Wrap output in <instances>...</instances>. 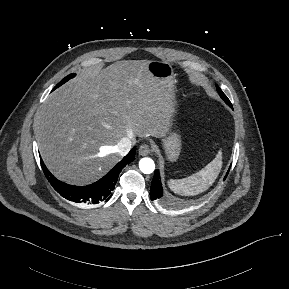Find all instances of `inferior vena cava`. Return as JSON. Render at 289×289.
<instances>
[{
	"label": "inferior vena cava",
	"instance_id": "obj_1",
	"mask_svg": "<svg viewBox=\"0 0 289 289\" xmlns=\"http://www.w3.org/2000/svg\"><path fill=\"white\" fill-rule=\"evenodd\" d=\"M132 147V140L129 137H123L117 144V152L124 156L126 155Z\"/></svg>",
	"mask_w": 289,
	"mask_h": 289
}]
</instances>
